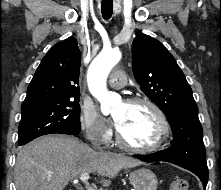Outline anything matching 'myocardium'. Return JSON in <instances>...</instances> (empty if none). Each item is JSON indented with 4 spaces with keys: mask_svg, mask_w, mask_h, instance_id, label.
I'll list each match as a JSON object with an SVG mask.
<instances>
[{
    "mask_svg": "<svg viewBox=\"0 0 221 190\" xmlns=\"http://www.w3.org/2000/svg\"><path fill=\"white\" fill-rule=\"evenodd\" d=\"M125 103L130 105L143 104L151 108L157 117L159 130L157 137L153 143L146 146H137L128 143L122 137L120 131L117 129L116 141L118 145H120L124 149L137 153H150V152H155L160 148H162L169 136L170 125L164 111L160 108V106L156 104L154 101L150 100L149 98L140 97V96L128 98L126 99Z\"/></svg>",
    "mask_w": 221,
    "mask_h": 190,
    "instance_id": "myocardium-1",
    "label": "myocardium"
}]
</instances>
